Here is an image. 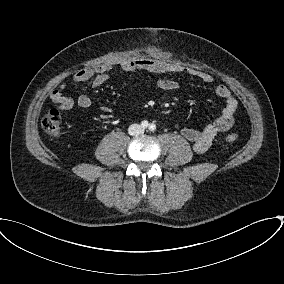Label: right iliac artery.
Returning <instances> with one entry per match:
<instances>
[{
  "mask_svg": "<svg viewBox=\"0 0 284 284\" xmlns=\"http://www.w3.org/2000/svg\"><path fill=\"white\" fill-rule=\"evenodd\" d=\"M141 125H142L143 128H147L149 126V123H148V121L144 120V121H142Z\"/></svg>",
  "mask_w": 284,
  "mask_h": 284,
  "instance_id": "obj_1",
  "label": "right iliac artery"
}]
</instances>
